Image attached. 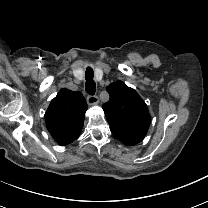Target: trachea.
<instances>
[{
  "label": "trachea",
  "instance_id": "1",
  "mask_svg": "<svg viewBox=\"0 0 208 208\" xmlns=\"http://www.w3.org/2000/svg\"><path fill=\"white\" fill-rule=\"evenodd\" d=\"M93 77H94L93 69L88 67L85 71V79H86L85 90L89 95L92 96L95 94L96 91V84Z\"/></svg>",
  "mask_w": 208,
  "mask_h": 208
}]
</instances>
